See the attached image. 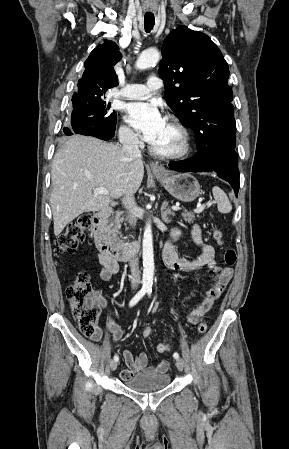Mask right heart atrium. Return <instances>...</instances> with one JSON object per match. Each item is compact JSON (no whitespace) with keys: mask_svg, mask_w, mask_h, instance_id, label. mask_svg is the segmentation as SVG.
I'll use <instances>...</instances> for the list:
<instances>
[{"mask_svg":"<svg viewBox=\"0 0 289 449\" xmlns=\"http://www.w3.org/2000/svg\"><path fill=\"white\" fill-rule=\"evenodd\" d=\"M119 137L122 143L126 145H135L138 143L136 133L129 127L123 125L119 129Z\"/></svg>","mask_w":289,"mask_h":449,"instance_id":"d8ad5b80","label":"right heart atrium"}]
</instances>
